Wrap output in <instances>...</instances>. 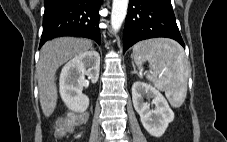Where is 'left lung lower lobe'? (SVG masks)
I'll return each mask as SVG.
<instances>
[{"label":"left lung lower lobe","mask_w":227,"mask_h":142,"mask_svg":"<svg viewBox=\"0 0 227 142\" xmlns=\"http://www.w3.org/2000/svg\"><path fill=\"white\" fill-rule=\"evenodd\" d=\"M155 37L174 39L185 48L171 0H130L123 31V53L136 42Z\"/></svg>","instance_id":"left-lung-lower-lobe-1"}]
</instances>
